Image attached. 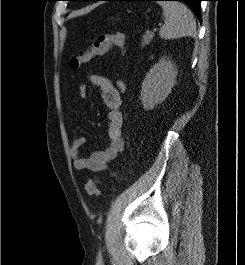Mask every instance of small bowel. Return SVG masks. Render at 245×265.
<instances>
[{
    "instance_id": "small-bowel-1",
    "label": "small bowel",
    "mask_w": 245,
    "mask_h": 265,
    "mask_svg": "<svg viewBox=\"0 0 245 265\" xmlns=\"http://www.w3.org/2000/svg\"><path fill=\"white\" fill-rule=\"evenodd\" d=\"M87 79L90 83L100 89L102 99L109 109L108 113V144L102 151H95L88 157L81 155V149L86 143L83 136L76 137L70 145V156L73 160V166L77 171L101 172L107 168V165L115 160L124 149V140L122 135L123 116L121 113L122 99L119 90L112 81L101 74H89ZM79 97L87 99L88 89L85 85L78 88Z\"/></svg>"
}]
</instances>
